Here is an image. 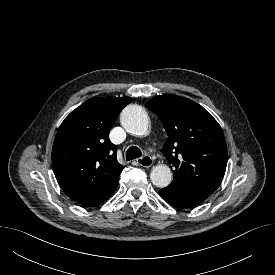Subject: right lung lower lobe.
Segmentation results:
<instances>
[{
    "mask_svg": "<svg viewBox=\"0 0 275 275\" xmlns=\"http://www.w3.org/2000/svg\"><path fill=\"white\" fill-rule=\"evenodd\" d=\"M117 187V186H116ZM116 187L106 193L96 195V196H91L87 198H83L80 200H77L78 203L88 206V207H94L105 201L116 189Z\"/></svg>",
    "mask_w": 275,
    "mask_h": 275,
    "instance_id": "98d812e1",
    "label": "right lung lower lobe"
}]
</instances>
